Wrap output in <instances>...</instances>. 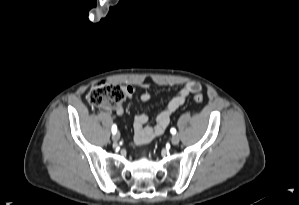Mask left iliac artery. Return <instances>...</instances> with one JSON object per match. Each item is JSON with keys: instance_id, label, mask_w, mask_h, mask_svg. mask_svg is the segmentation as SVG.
Listing matches in <instances>:
<instances>
[{"instance_id": "44dca946", "label": "left iliac artery", "mask_w": 299, "mask_h": 205, "mask_svg": "<svg viewBox=\"0 0 299 205\" xmlns=\"http://www.w3.org/2000/svg\"><path fill=\"white\" fill-rule=\"evenodd\" d=\"M170 132H171L172 134H175V133H176V129H175V128H171Z\"/></svg>"}]
</instances>
